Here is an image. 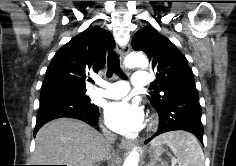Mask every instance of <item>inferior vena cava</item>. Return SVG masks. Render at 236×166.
I'll use <instances>...</instances> for the list:
<instances>
[{"mask_svg":"<svg viewBox=\"0 0 236 166\" xmlns=\"http://www.w3.org/2000/svg\"><path fill=\"white\" fill-rule=\"evenodd\" d=\"M104 139H105L106 147L110 151V148L112 147V145L116 139V136L114 134L109 133V132H105Z\"/></svg>","mask_w":236,"mask_h":166,"instance_id":"602c4592","label":"inferior vena cava"}]
</instances>
